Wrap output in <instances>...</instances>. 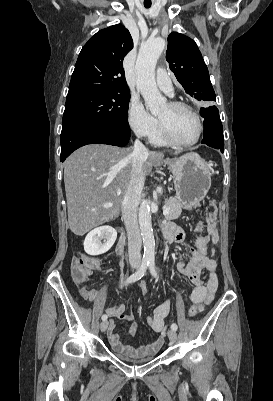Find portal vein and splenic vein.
Wrapping results in <instances>:
<instances>
[{"label": "portal vein and splenic vein", "instance_id": "1", "mask_svg": "<svg viewBox=\"0 0 273 401\" xmlns=\"http://www.w3.org/2000/svg\"><path fill=\"white\" fill-rule=\"evenodd\" d=\"M104 209H107V207H113V203H105V205H102ZM172 209L171 205H168V202H165V205L162 206V212L163 215H168L169 210Z\"/></svg>", "mask_w": 273, "mask_h": 401}]
</instances>
